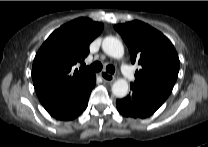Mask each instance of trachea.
Returning a JSON list of instances; mask_svg holds the SVG:
<instances>
[{
	"label": "trachea",
	"mask_w": 208,
	"mask_h": 147,
	"mask_svg": "<svg viewBox=\"0 0 208 147\" xmlns=\"http://www.w3.org/2000/svg\"><path fill=\"white\" fill-rule=\"evenodd\" d=\"M102 64L99 61L94 62L93 64H91L90 66L87 67V69H89L92 72H99L102 70ZM106 71L110 74H114L115 72V67L113 65H107L106 66Z\"/></svg>",
	"instance_id": "obj_1"
}]
</instances>
